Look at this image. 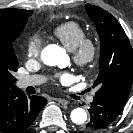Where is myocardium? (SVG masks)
<instances>
[{
    "instance_id": "obj_1",
    "label": "myocardium",
    "mask_w": 133,
    "mask_h": 133,
    "mask_svg": "<svg viewBox=\"0 0 133 133\" xmlns=\"http://www.w3.org/2000/svg\"><path fill=\"white\" fill-rule=\"evenodd\" d=\"M74 64L82 69L89 70L94 67L99 58V47L91 37H85L75 48L71 50Z\"/></svg>"
}]
</instances>
